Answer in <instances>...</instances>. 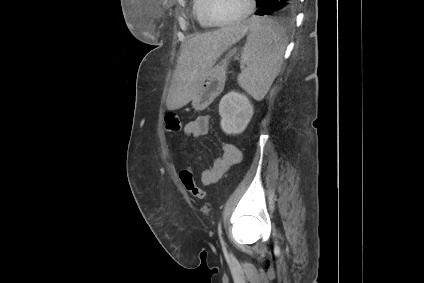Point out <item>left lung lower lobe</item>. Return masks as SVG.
Masks as SVG:
<instances>
[{
    "mask_svg": "<svg viewBox=\"0 0 424 283\" xmlns=\"http://www.w3.org/2000/svg\"><path fill=\"white\" fill-rule=\"evenodd\" d=\"M298 0H256V15H272L278 10H289L296 7Z\"/></svg>",
    "mask_w": 424,
    "mask_h": 283,
    "instance_id": "1",
    "label": "left lung lower lobe"
}]
</instances>
